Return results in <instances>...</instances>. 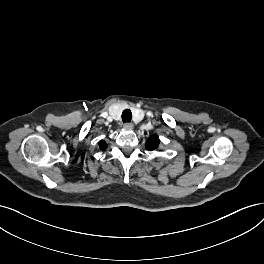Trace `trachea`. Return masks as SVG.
Returning <instances> with one entry per match:
<instances>
[{
	"label": "trachea",
	"mask_w": 264,
	"mask_h": 264,
	"mask_svg": "<svg viewBox=\"0 0 264 264\" xmlns=\"http://www.w3.org/2000/svg\"><path fill=\"white\" fill-rule=\"evenodd\" d=\"M132 119V113L129 109H126L122 112V121L124 123H129Z\"/></svg>",
	"instance_id": "1"
}]
</instances>
